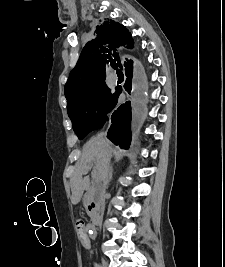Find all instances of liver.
I'll return each mask as SVG.
<instances>
[{"instance_id":"1","label":"liver","mask_w":225,"mask_h":267,"mask_svg":"<svg viewBox=\"0 0 225 267\" xmlns=\"http://www.w3.org/2000/svg\"><path fill=\"white\" fill-rule=\"evenodd\" d=\"M113 151L114 149L109 141L100 142L96 137L90 139L84 145L81 158L75 166L71 180V200L73 204L79 203L88 183V178L83 179L82 176L87 174L92 165L95 164L97 169L96 180L99 181L106 164L110 161Z\"/></svg>"}]
</instances>
